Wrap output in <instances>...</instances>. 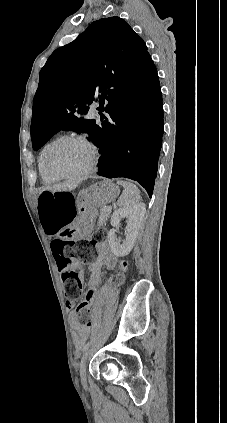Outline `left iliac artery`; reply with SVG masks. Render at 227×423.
I'll return each instance as SVG.
<instances>
[{"label":"left iliac artery","mask_w":227,"mask_h":423,"mask_svg":"<svg viewBox=\"0 0 227 423\" xmlns=\"http://www.w3.org/2000/svg\"><path fill=\"white\" fill-rule=\"evenodd\" d=\"M88 347H90V342H88L84 347H83V351H86V349H88Z\"/></svg>","instance_id":"44dca946"}]
</instances>
